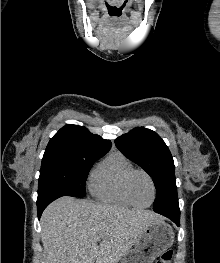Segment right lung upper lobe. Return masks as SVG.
I'll use <instances>...</instances> for the list:
<instances>
[{"label":"right lung upper lobe","mask_w":220,"mask_h":263,"mask_svg":"<svg viewBox=\"0 0 220 263\" xmlns=\"http://www.w3.org/2000/svg\"><path fill=\"white\" fill-rule=\"evenodd\" d=\"M110 147L109 140L90 133L85 127L67 124L51 138L46 151L69 150L105 155Z\"/></svg>","instance_id":"obj_1"}]
</instances>
